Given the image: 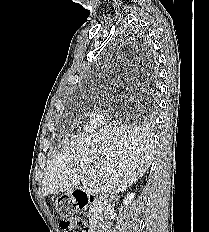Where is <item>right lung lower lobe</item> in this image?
I'll return each mask as SVG.
<instances>
[{"mask_svg":"<svg viewBox=\"0 0 209 232\" xmlns=\"http://www.w3.org/2000/svg\"><path fill=\"white\" fill-rule=\"evenodd\" d=\"M142 58L148 63L149 66H152L154 60L151 52L148 49L142 53ZM150 77H152L151 73H150Z\"/></svg>","mask_w":209,"mask_h":232,"instance_id":"right-lung-lower-lobe-1","label":"right lung lower lobe"}]
</instances>
